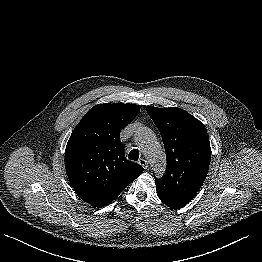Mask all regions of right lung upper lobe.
I'll return each mask as SVG.
<instances>
[{
  "label": "right lung upper lobe",
  "instance_id": "right-lung-upper-lobe-1",
  "mask_svg": "<svg viewBox=\"0 0 262 262\" xmlns=\"http://www.w3.org/2000/svg\"><path fill=\"white\" fill-rule=\"evenodd\" d=\"M135 104L92 107L74 128L65 150V169L78 196L93 207L111 203L143 167L125 158L120 132L138 115Z\"/></svg>",
  "mask_w": 262,
  "mask_h": 262
}]
</instances>
